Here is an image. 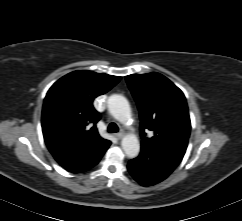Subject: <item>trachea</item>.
I'll return each mask as SVG.
<instances>
[{
	"label": "trachea",
	"instance_id": "3493384b",
	"mask_svg": "<svg viewBox=\"0 0 242 221\" xmlns=\"http://www.w3.org/2000/svg\"><path fill=\"white\" fill-rule=\"evenodd\" d=\"M107 130H108V132H110V133H115V132H118L119 128H118V126H117L115 123L112 122V123H110V124L108 125Z\"/></svg>",
	"mask_w": 242,
	"mask_h": 221
}]
</instances>
